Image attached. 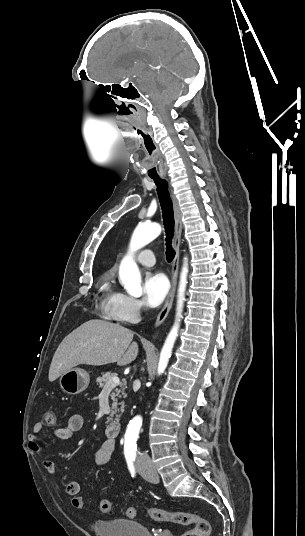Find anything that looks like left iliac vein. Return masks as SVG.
<instances>
[{
    "mask_svg": "<svg viewBox=\"0 0 305 536\" xmlns=\"http://www.w3.org/2000/svg\"><path fill=\"white\" fill-rule=\"evenodd\" d=\"M136 468L139 474H141L143 477L147 478L149 481L153 483H157L159 481V476L157 471L154 467H144L141 466L139 462L136 463Z\"/></svg>",
    "mask_w": 305,
    "mask_h": 536,
    "instance_id": "obj_1",
    "label": "left iliac vein"
}]
</instances>
